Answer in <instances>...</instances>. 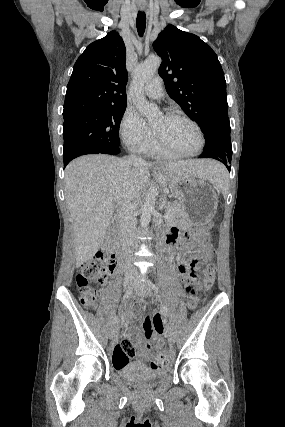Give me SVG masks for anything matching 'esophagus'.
<instances>
[{"label": "esophagus", "mask_w": 285, "mask_h": 427, "mask_svg": "<svg viewBox=\"0 0 285 427\" xmlns=\"http://www.w3.org/2000/svg\"><path fill=\"white\" fill-rule=\"evenodd\" d=\"M143 9H144V7H142V6H141V7H140V10H143Z\"/></svg>", "instance_id": "esophagus-1"}]
</instances>
